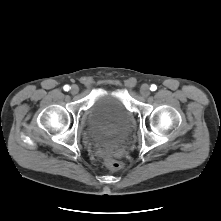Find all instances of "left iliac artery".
Returning <instances> with one entry per match:
<instances>
[{"instance_id": "obj_1", "label": "left iliac artery", "mask_w": 221, "mask_h": 221, "mask_svg": "<svg viewBox=\"0 0 221 221\" xmlns=\"http://www.w3.org/2000/svg\"><path fill=\"white\" fill-rule=\"evenodd\" d=\"M156 89H157V86L155 84H152L151 87H150V90L155 91Z\"/></svg>"}]
</instances>
